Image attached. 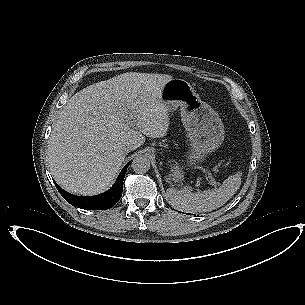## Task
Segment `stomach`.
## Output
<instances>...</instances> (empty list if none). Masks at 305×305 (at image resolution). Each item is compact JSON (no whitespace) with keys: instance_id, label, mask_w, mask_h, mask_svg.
Instances as JSON below:
<instances>
[{"instance_id":"stomach-1","label":"stomach","mask_w":305,"mask_h":305,"mask_svg":"<svg viewBox=\"0 0 305 305\" xmlns=\"http://www.w3.org/2000/svg\"><path fill=\"white\" fill-rule=\"evenodd\" d=\"M160 100L169 111L180 109L181 120L190 140L187 165L195 164L221 145L224 129L219 117L186 80H168L161 89ZM169 165L170 180L182 182L184 164L170 162Z\"/></svg>"}]
</instances>
